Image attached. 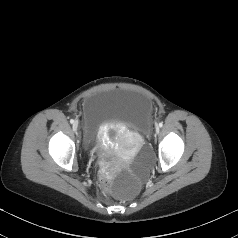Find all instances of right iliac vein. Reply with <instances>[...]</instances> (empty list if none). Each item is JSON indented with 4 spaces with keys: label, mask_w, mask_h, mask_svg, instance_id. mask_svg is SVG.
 <instances>
[{
    "label": "right iliac vein",
    "mask_w": 238,
    "mask_h": 238,
    "mask_svg": "<svg viewBox=\"0 0 238 238\" xmlns=\"http://www.w3.org/2000/svg\"><path fill=\"white\" fill-rule=\"evenodd\" d=\"M72 127H73V130L76 132L78 129V121H75Z\"/></svg>",
    "instance_id": "1"
}]
</instances>
